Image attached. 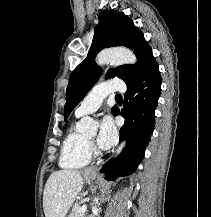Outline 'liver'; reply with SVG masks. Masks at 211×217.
<instances>
[{"mask_svg":"<svg viewBox=\"0 0 211 217\" xmlns=\"http://www.w3.org/2000/svg\"><path fill=\"white\" fill-rule=\"evenodd\" d=\"M82 187L80 171L64 169L53 172L44 188L45 217H66Z\"/></svg>","mask_w":211,"mask_h":217,"instance_id":"liver-1","label":"liver"}]
</instances>
